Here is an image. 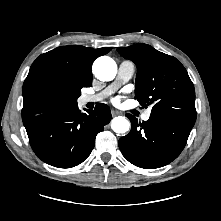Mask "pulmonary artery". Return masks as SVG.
Returning a JSON list of instances; mask_svg holds the SVG:
<instances>
[{
	"instance_id": "pulmonary-artery-1",
	"label": "pulmonary artery",
	"mask_w": 221,
	"mask_h": 221,
	"mask_svg": "<svg viewBox=\"0 0 221 221\" xmlns=\"http://www.w3.org/2000/svg\"><path fill=\"white\" fill-rule=\"evenodd\" d=\"M134 72L135 66L132 62L127 60L121 61L114 82L98 93L86 94L82 96V103L87 104L102 101L106 97L110 96L114 91H116L121 85L128 82L132 78ZM150 115L151 110L149 109L143 113L142 119L147 121L150 118Z\"/></svg>"
}]
</instances>
